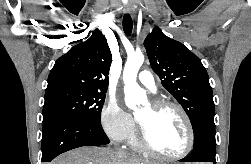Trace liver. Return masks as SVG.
I'll list each match as a JSON object with an SVG mask.
<instances>
[{
  "mask_svg": "<svg viewBox=\"0 0 251 164\" xmlns=\"http://www.w3.org/2000/svg\"><path fill=\"white\" fill-rule=\"evenodd\" d=\"M51 164H154L109 148L81 147L57 157Z\"/></svg>",
  "mask_w": 251,
  "mask_h": 164,
  "instance_id": "1",
  "label": "liver"
}]
</instances>
